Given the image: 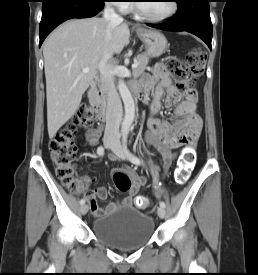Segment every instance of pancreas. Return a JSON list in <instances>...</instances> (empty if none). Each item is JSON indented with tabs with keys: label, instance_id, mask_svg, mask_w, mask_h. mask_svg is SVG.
I'll return each instance as SVG.
<instances>
[{
	"label": "pancreas",
	"instance_id": "pancreas-1",
	"mask_svg": "<svg viewBox=\"0 0 258 275\" xmlns=\"http://www.w3.org/2000/svg\"><path fill=\"white\" fill-rule=\"evenodd\" d=\"M137 62L138 65L136 68L133 69V75L138 77L140 76L142 73H144L145 69L147 68L148 62H149V56L146 53L143 54H139L137 56ZM100 92L102 93L103 97H105V90L102 87H100Z\"/></svg>",
	"mask_w": 258,
	"mask_h": 275
}]
</instances>
